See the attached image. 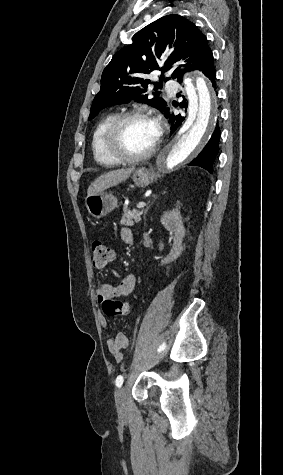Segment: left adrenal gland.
Wrapping results in <instances>:
<instances>
[{"mask_svg":"<svg viewBox=\"0 0 283 475\" xmlns=\"http://www.w3.org/2000/svg\"><path fill=\"white\" fill-rule=\"evenodd\" d=\"M154 198H155V200H156V196H154ZM150 206H152V204H150ZM150 206H148V208H150ZM148 208H147V210H145V212H144V220H145V216H146V214H147V212H148Z\"/></svg>","mask_w":283,"mask_h":475,"instance_id":"left-adrenal-gland-1","label":"left adrenal gland"}]
</instances>
